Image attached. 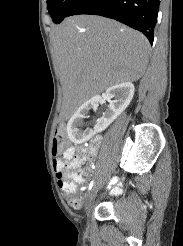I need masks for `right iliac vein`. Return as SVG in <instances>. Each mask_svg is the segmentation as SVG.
I'll return each mask as SVG.
<instances>
[{"label": "right iliac vein", "instance_id": "obj_1", "mask_svg": "<svg viewBox=\"0 0 183 246\" xmlns=\"http://www.w3.org/2000/svg\"><path fill=\"white\" fill-rule=\"evenodd\" d=\"M96 193H97L96 188H93L91 190V192L89 193V195H88V201H87V206H86L87 220H88V217H89V211H90V208H91V204H92V201L94 200V198L96 196Z\"/></svg>", "mask_w": 183, "mask_h": 246}]
</instances>
